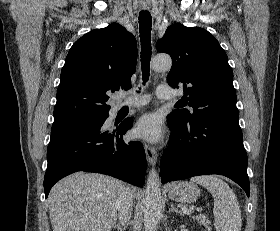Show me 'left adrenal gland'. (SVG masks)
Returning a JSON list of instances; mask_svg holds the SVG:
<instances>
[{
	"label": "left adrenal gland",
	"instance_id": "a2214340",
	"mask_svg": "<svg viewBox=\"0 0 280 231\" xmlns=\"http://www.w3.org/2000/svg\"><path fill=\"white\" fill-rule=\"evenodd\" d=\"M169 211H176V213H180V215H184L183 211H180V209H178V207H174V203H171V205L169 207Z\"/></svg>",
	"mask_w": 280,
	"mask_h": 231
}]
</instances>
